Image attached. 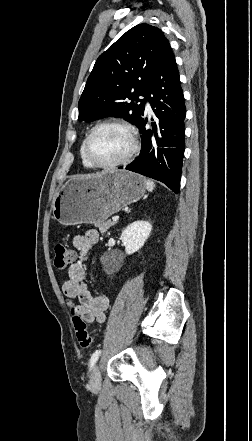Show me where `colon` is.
I'll list each match as a JSON object with an SVG mask.
<instances>
[{
	"label": "colon",
	"mask_w": 252,
	"mask_h": 441,
	"mask_svg": "<svg viewBox=\"0 0 252 441\" xmlns=\"http://www.w3.org/2000/svg\"><path fill=\"white\" fill-rule=\"evenodd\" d=\"M54 250V265L56 268L63 269L73 260V252L68 249L67 246L63 244H57ZM72 314V320L77 340L82 348H88L92 343V338L89 334L87 323L82 318L76 307L72 309Z\"/></svg>",
	"instance_id": "5ec220e1"
}]
</instances>
